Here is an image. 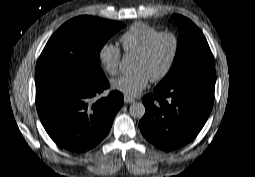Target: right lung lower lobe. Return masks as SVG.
Instances as JSON below:
<instances>
[{
	"mask_svg": "<svg viewBox=\"0 0 255 177\" xmlns=\"http://www.w3.org/2000/svg\"><path fill=\"white\" fill-rule=\"evenodd\" d=\"M108 87L105 75H48L36 79L37 111L54 142L67 150L83 152L108 134L123 104V95L118 91L96 99Z\"/></svg>",
	"mask_w": 255,
	"mask_h": 177,
	"instance_id": "obj_1",
	"label": "right lung lower lobe"
}]
</instances>
